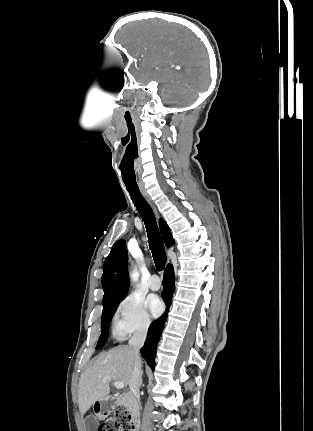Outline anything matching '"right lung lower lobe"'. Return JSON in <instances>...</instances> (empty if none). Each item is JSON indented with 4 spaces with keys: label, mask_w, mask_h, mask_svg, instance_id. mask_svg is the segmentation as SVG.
Wrapping results in <instances>:
<instances>
[{
    "label": "right lung lower lobe",
    "mask_w": 313,
    "mask_h": 431,
    "mask_svg": "<svg viewBox=\"0 0 313 431\" xmlns=\"http://www.w3.org/2000/svg\"><path fill=\"white\" fill-rule=\"evenodd\" d=\"M174 270L173 266L171 264H168L165 273H164V280H163V292L162 297L164 299V302L166 303V312L161 316V318L154 321L148 330L147 339L145 341V345L141 349V355L142 357L147 361V364L150 366L152 370H154L155 367V355H156V348L159 341V338L161 336L164 324L167 319V310L171 304L172 295L174 291Z\"/></svg>",
    "instance_id": "obj_1"
}]
</instances>
